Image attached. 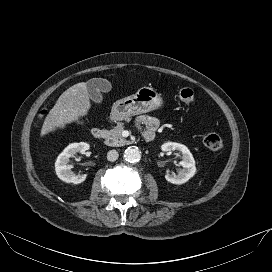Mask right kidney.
<instances>
[{
	"label": "right kidney",
	"mask_w": 272,
	"mask_h": 272,
	"mask_svg": "<svg viewBox=\"0 0 272 272\" xmlns=\"http://www.w3.org/2000/svg\"><path fill=\"white\" fill-rule=\"evenodd\" d=\"M89 147V144L85 142L72 143L59 154L55 162V172L62 181L73 184L85 181L87 174H74L68 162L70 157H74L76 153L84 154Z\"/></svg>",
	"instance_id": "right-kidney-1"
}]
</instances>
